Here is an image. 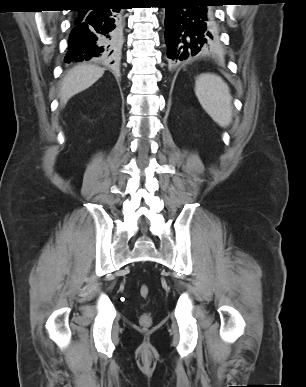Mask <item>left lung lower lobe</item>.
Masks as SVG:
<instances>
[{"label":"left lung lower lobe","instance_id":"1","mask_svg":"<svg viewBox=\"0 0 306 387\" xmlns=\"http://www.w3.org/2000/svg\"><path fill=\"white\" fill-rule=\"evenodd\" d=\"M166 8L165 42L173 67L206 53L214 44L215 0H163Z\"/></svg>","mask_w":306,"mask_h":387}]
</instances>
